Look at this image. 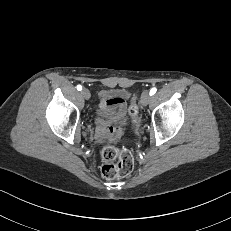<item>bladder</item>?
Wrapping results in <instances>:
<instances>
[{"mask_svg":"<svg viewBox=\"0 0 231 231\" xmlns=\"http://www.w3.org/2000/svg\"><path fill=\"white\" fill-rule=\"evenodd\" d=\"M129 97V92L125 89H118V90H105L102 91L99 94V98L102 100V103L109 99H114V98H121V99H127ZM101 103V105H102ZM112 108H102L101 106V113L102 114H108L111 112Z\"/></svg>","mask_w":231,"mask_h":231,"instance_id":"bladder-1","label":"bladder"}]
</instances>
